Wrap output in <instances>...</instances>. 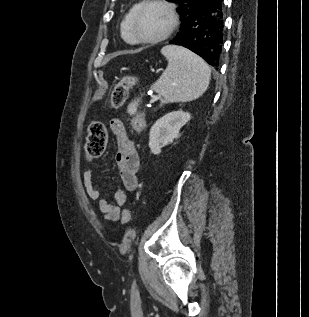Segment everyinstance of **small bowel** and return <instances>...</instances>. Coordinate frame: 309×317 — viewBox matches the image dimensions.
<instances>
[{
  "label": "small bowel",
  "instance_id": "small-bowel-1",
  "mask_svg": "<svg viewBox=\"0 0 309 317\" xmlns=\"http://www.w3.org/2000/svg\"><path fill=\"white\" fill-rule=\"evenodd\" d=\"M108 123L116 140L115 161L119 169L122 187L116 191L115 203L113 204L101 198V192L94 184L91 169L84 172L83 184L88 196L99 201V209L105 218L109 221H118L122 216V209L127 205L128 193L138 188L140 159L136 145L131 139L125 124L117 118L110 119Z\"/></svg>",
  "mask_w": 309,
  "mask_h": 317
}]
</instances>
